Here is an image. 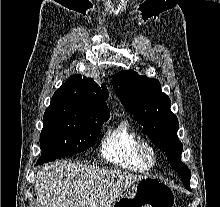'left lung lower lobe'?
<instances>
[{
	"instance_id": "1",
	"label": "left lung lower lobe",
	"mask_w": 220,
	"mask_h": 207,
	"mask_svg": "<svg viewBox=\"0 0 220 207\" xmlns=\"http://www.w3.org/2000/svg\"><path fill=\"white\" fill-rule=\"evenodd\" d=\"M173 169L179 173L183 179V184L184 186L191 191L190 186H189V181H190V177H191V172L190 170L187 168L186 165H182V166H172Z\"/></svg>"
}]
</instances>
